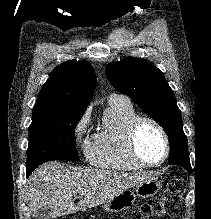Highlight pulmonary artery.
<instances>
[{
  "label": "pulmonary artery",
  "mask_w": 211,
  "mask_h": 219,
  "mask_svg": "<svg viewBox=\"0 0 211 219\" xmlns=\"http://www.w3.org/2000/svg\"><path fill=\"white\" fill-rule=\"evenodd\" d=\"M119 98H121V97H119V96H117V95H111V96L109 97V101L115 100V99H119Z\"/></svg>",
  "instance_id": "e3ab8cb5"
}]
</instances>
